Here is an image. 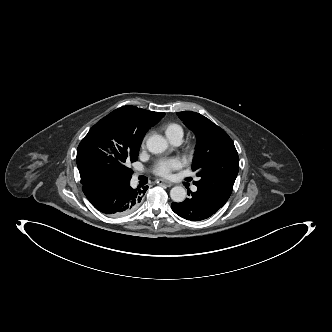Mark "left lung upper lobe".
Masks as SVG:
<instances>
[{
    "label": "left lung upper lobe",
    "instance_id": "left-lung-upper-lobe-1",
    "mask_svg": "<svg viewBox=\"0 0 332 332\" xmlns=\"http://www.w3.org/2000/svg\"><path fill=\"white\" fill-rule=\"evenodd\" d=\"M177 115L197 137L192 170L197 172L199 181L194 184L226 203L239 170V157L232 139L199 113L185 111Z\"/></svg>",
    "mask_w": 332,
    "mask_h": 332
}]
</instances>
